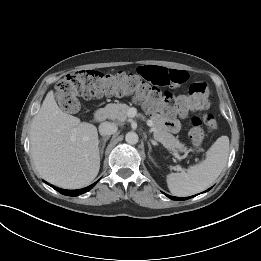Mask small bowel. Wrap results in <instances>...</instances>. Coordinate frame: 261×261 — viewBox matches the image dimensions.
Returning a JSON list of instances; mask_svg holds the SVG:
<instances>
[{"label":"small bowel","instance_id":"c3829d8e","mask_svg":"<svg viewBox=\"0 0 261 261\" xmlns=\"http://www.w3.org/2000/svg\"><path fill=\"white\" fill-rule=\"evenodd\" d=\"M139 72L146 80L161 86H178L188 79V73L184 70L168 69L161 66H142L139 68ZM153 120L156 124L172 133L178 132L181 128L178 120L166 118L161 114H154Z\"/></svg>","mask_w":261,"mask_h":261}]
</instances>
